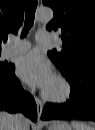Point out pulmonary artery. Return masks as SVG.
Returning <instances> with one entry per match:
<instances>
[{
	"label": "pulmonary artery",
	"instance_id": "1",
	"mask_svg": "<svg viewBox=\"0 0 95 130\" xmlns=\"http://www.w3.org/2000/svg\"><path fill=\"white\" fill-rule=\"evenodd\" d=\"M53 40V35L47 31H39L36 34V41L38 43H48ZM31 44L28 41H16L7 46L4 50V56L7 58L17 56L21 53L28 51Z\"/></svg>",
	"mask_w": 95,
	"mask_h": 130
}]
</instances>
